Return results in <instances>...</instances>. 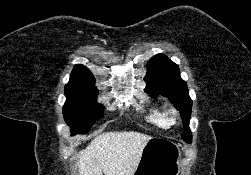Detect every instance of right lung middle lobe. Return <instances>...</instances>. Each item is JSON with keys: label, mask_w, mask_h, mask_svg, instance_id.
<instances>
[{"label": "right lung middle lobe", "mask_w": 251, "mask_h": 175, "mask_svg": "<svg viewBox=\"0 0 251 175\" xmlns=\"http://www.w3.org/2000/svg\"><path fill=\"white\" fill-rule=\"evenodd\" d=\"M96 88L65 86L67 98L63 106L66 123L72 128L71 133H87L89 128L103 113V106L98 104Z\"/></svg>", "instance_id": "right-lung-middle-lobe-1"}]
</instances>
